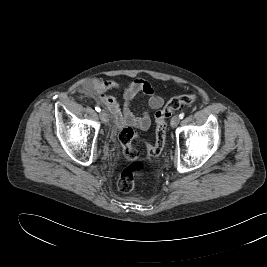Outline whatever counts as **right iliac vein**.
<instances>
[{
	"instance_id": "63e3f726",
	"label": "right iliac vein",
	"mask_w": 267,
	"mask_h": 267,
	"mask_svg": "<svg viewBox=\"0 0 267 267\" xmlns=\"http://www.w3.org/2000/svg\"><path fill=\"white\" fill-rule=\"evenodd\" d=\"M99 116L103 123H107L109 121V116L104 110L100 112Z\"/></svg>"
}]
</instances>
